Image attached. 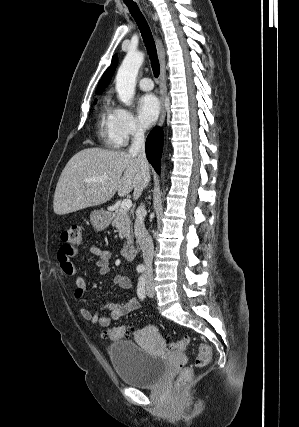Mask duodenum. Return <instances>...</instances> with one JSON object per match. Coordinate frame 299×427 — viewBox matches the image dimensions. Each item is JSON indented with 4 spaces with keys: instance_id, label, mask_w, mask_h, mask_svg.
<instances>
[{
    "instance_id": "410a0bca",
    "label": "duodenum",
    "mask_w": 299,
    "mask_h": 427,
    "mask_svg": "<svg viewBox=\"0 0 299 427\" xmlns=\"http://www.w3.org/2000/svg\"><path fill=\"white\" fill-rule=\"evenodd\" d=\"M136 252V244L134 241L126 242L121 250V255L125 259H132Z\"/></svg>"
}]
</instances>
